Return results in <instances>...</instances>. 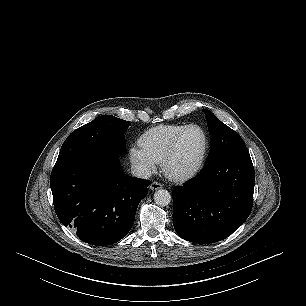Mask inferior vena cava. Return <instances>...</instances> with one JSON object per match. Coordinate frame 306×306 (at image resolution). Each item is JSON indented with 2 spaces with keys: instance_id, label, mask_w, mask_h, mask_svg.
Wrapping results in <instances>:
<instances>
[{
  "instance_id": "602c4592",
  "label": "inferior vena cava",
  "mask_w": 306,
  "mask_h": 306,
  "mask_svg": "<svg viewBox=\"0 0 306 306\" xmlns=\"http://www.w3.org/2000/svg\"><path fill=\"white\" fill-rule=\"evenodd\" d=\"M131 173L139 178L148 179L151 176V171L142 164H133L131 166Z\"/></svg>"
}]
</instances>
